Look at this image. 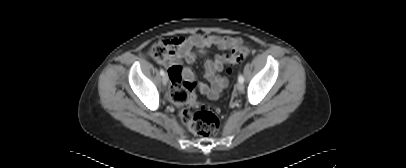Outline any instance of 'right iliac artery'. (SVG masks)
<instances>
[{"label": "right iliac artery", "instance_id": "1", "mask_svg": "<svg viewBox=\"0 0 406 168\" xmlns=\"http://www.w3.org/2000/svg\"><path fill=\"white\" fill-rule=\"evenodd\" d=\"M160 74L163 76L164 75V70L160 69Z\"/></svg>", "mask_w": 406, "mask_h": 168}]
</instances>
